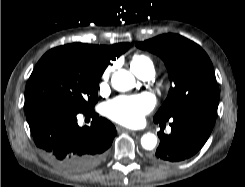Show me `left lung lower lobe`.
I'll return each mask as SVG.
<instances>
[{
    "instance_id": "obj_1",
    "label": "left lung lower lobe",
    "mask_w": 245,
    "mask_h": 187,
    "mask_svg": "<svg viewBox=\"0 0 245 187\" xmlns=\"http://www.w3.org/2000/svg\"><path fill=\"white\" fill-rule=\"evenodd\" d=\"M216 113L217 109H199L170 118L171 134L160 130V144L151 160L171 165L196 154L209 138ZM168 120L154 119V122L162 126Z\"/></svg>"
}]
</instances>
